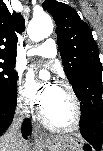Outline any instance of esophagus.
Here are the masks:
<instances>
[{
  "label": "esophagus",
  "mask_w": 103,
  "mask_h": 151,
  "mask_svg": "<svg viewBox=\"0 0 103 151\" xmlns=\"http://www.w3.org/2000/svg\"><path fill=\"white\" fill-rule=\"evenodd\" d=\"M32 133H33V136H34L36 141L44 142L48 139V137L43 132L38 130L36 127H34Z\"/></svg>",
  "instance_id": "obj_1"
}]
</instances>
